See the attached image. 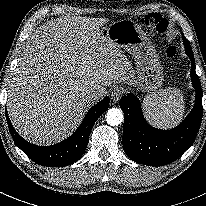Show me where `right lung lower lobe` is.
Masks as SVG:
<instances>
[{"label": "right lung lower lobe", "mask_w": 206, "mask_h": 206, "mask_svg": "<svg viewBox=\"0 0 206 206\" xmlns=\"http://www.w3.org/2000/svg\"><path fill=\"white\" fill-rule=\"evenodd\" d=\"M109 98L105 97L86 114L78 129L66 140L51 146H37L24 140L13 128L7 111L6 119L15 144L35 163L47 167H62L76 162L84 154L91 129L97 119L108 109Z\"/></svg>", "instance_id": "1"}]
</instances>
